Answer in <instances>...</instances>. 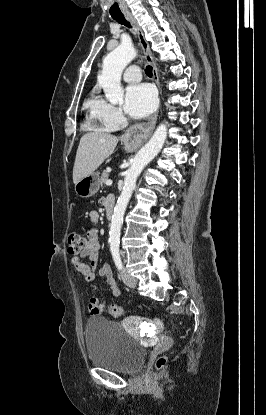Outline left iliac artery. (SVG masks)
I'll return each mask as SVG.
<instances>
[{
	"instance_id": "left-iliac-artery-1",
	"label": "left iliac artery",
	"mask_w": 266,
	"mask_h": 415,
	"mask_svg": "<svg viewBox=\"0 0 266 415\" xmlns=\"http://www.w3.org/2000/svg\"><path fill=\"white\" fill-rule=\"evenodd\" d=\"M112 256H113V260L115 262L116 267L118 268V270L122 269V261H121V257H120V252L118 250H114L112 252Z\"/></svg>"
}]
</instances>
